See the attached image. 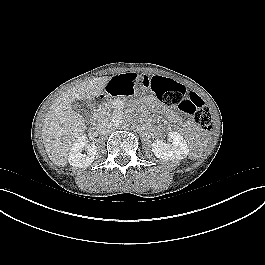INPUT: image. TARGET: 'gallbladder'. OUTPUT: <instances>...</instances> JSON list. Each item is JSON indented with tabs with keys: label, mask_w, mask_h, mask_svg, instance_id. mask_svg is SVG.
<instances>
[{
	"label": "gallbladder",
	"mask_w": 265,
	"mask_h": 265,
	"mask_svg": "<svg viewBox=\"0 0 265 265\" xmlns=\"http://www.w3.org/2000/svg\"><path fill=\"white\" fill-rule=\"evenodd\" d=\"M72 108L86 120H89L93 113L92 108L86 101L76 100L72 103Z\"/></svg>",
	"instance_id": "1"
}]
</instances>
